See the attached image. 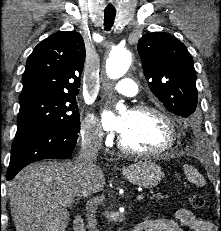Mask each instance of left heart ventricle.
Listing matches in <instances>:
<instances>
[{
    "instance_id": "b2bd125f",
    "label": "left heart ventricle",
    "mask_w": 221,
    "mask_h": 231,
    "mask_svg": "<svg viewBox=\"0 0 221 231\" xmlns=\"http://www.w3.org/2000/svg\"><path fill=\"white\" fill-rule=\"evenodd\" d=\"M125 130L121 133L123 143L137 150H158L169 141V130L165 121L153 113L126 112Z\"/></svg>"
}]
</instances>
